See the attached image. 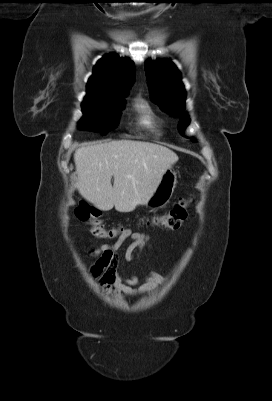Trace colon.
<instances>
[{
  "mask_svg": "<svg viewBox=\"0 0 272 401\" xmlns=\"http://www.w3.org/2000/svg\"><path fill=\"white\" fill-rule=\"evenodd\" d=\"M189 201L182 200L171 210L153 218V223L168 229H178L188 215ZM77 218L91 227L92 234L99 239H111L118 234L117 229H107L102 224V214L96 207L82 202L76 209Z\"/></svg>",
  "mask_w": 272,
  "mask_h": 401,
  "instance_id": "obj_1",
  "label": "colon"
}]
</instances>
